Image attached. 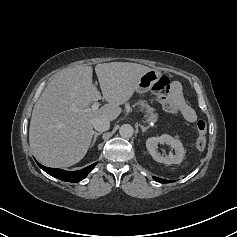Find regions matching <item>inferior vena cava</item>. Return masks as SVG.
<instances>
[{
	"label": "inferior vena cava",
	"mask_w": 237,
	"mask_h": 237,
	"mask_svg": "<svg viewBox=\"0 0 237 237\" xmlns=\"http://www.w3.org/2000/svg\"><path fill=\"white\" fill-rule=\"evenodd\" d=\"M93 127L96 131L104 132L110 128V121L107 118L99 117L93 121Z\"/></svg>",
	"instance_id": "602c4592"
}]
</instances>
